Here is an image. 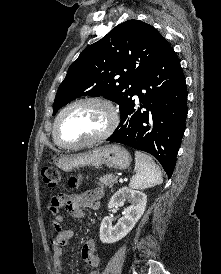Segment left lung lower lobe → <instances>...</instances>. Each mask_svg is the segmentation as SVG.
I'll use <instances>...</instances> for the list:
<instances>
[{"instance_id":"1","label":"left lung lower lobe","mask_w":221,"mask_h":274,"mask_svg":"<svg viewBox=\"0 0 221 274\" xmlns=\"http://www.w3.org/2000/svg\"><path fill=\"white\" fill-rule=\"evenodd\" d=\"M135 95L140 108H134L131 99L107 140L152 154L170 178L188 112L185 77L171 46L139 78Z\"/></svg>"}]
</instances>
